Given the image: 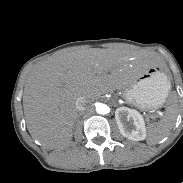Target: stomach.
I'll use <instances>...</instances> for the list:
<instances>
[{"label": "stomach", "mask_w": 183, "mask_h": 183, "mask_svg": "<svg viewBox=\"0 0 183 183\" xmlns=\"http://www.w3.org/2000/svg\"><path fill=\"white\" fill-rule=\"evenodd\" d=\"M170 87V81L162 70L149 67L125 86L124 97L141 108L156 109L165 103Z\"/></svg>", "instance_id": "obj_1"}]
</instances>
